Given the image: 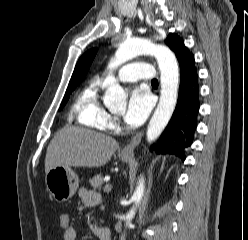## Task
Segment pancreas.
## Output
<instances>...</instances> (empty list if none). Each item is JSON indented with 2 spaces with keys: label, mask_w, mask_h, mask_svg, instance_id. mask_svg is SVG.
<instances>
[{
  "label": "pancreas",
  "mask_w": 248,
  "mask_h": 240,
  "mask_svg": "<svg viewBox=\"0 0 248 240\" xmlns=\"http://www.w3.org/2000/svg\"><path fill=\"white\" fill-rule=\"evenodd\" d=\"M103 182H104V178L100 174L96 175L95 177L89 180V183L95 190L101 189Z\"/></svg>",
  "instance_id": "pancreas-1"
}]
</instances>
